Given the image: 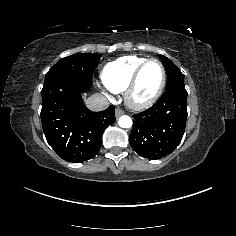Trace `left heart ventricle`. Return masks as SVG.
<instances>
[{"instance_id": "b2bd125f", "label": "left heart ventricle", "mask_w": 236, "mask_h": 236, "mask_svg": "<svg viewBox=\"0 0 236 236\" xmlns=\"http://www.w3.org/2000/svg\"><path fill=\"white\" fill-rule=\"evenodd\" d=\"M162 78V69L156 62L149 63L141 72L137 81L134 98L144 101L153 96Z\"/></svg>"}]
</instances>
